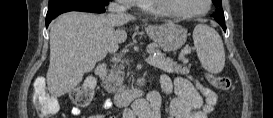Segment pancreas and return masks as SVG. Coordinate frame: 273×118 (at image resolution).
I'll return each mask as SVG.
<instances>
[{
	"label": "pancreas",
	"instance_id": "obj_1",
	"mask_svg": "<svg viewBox=\"0 0 273 118\" xmlns=\"http://www.w3.org/2000/svg\"><path fill=\"white\" fill-rule=\"evenodd\" d=\"M149 50L151 52H156L157 55L152 57L151 65L169 72V73H177L182 75H187L190 71V67L185 66L188 63V58H185L190 51L183 50L179 55V60L183 62L184 65L177 64L172 61L170 58H167L163 53H161L157 48L150 47ZM124 65L117 63L114 64L112 69L109 71L108 75L105 76L103 80V87L105 90L111 94H116L121 90H124L123 80H124Z\"/></svg>",
	"mask_w": 273,
	"mask_h": 118
}]
</instances>
